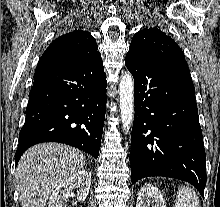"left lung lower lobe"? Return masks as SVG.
I'll use <instances>...</instances> for the list:
<instances>
[{
  "mask_svg": "<svg viewBox=\"0 0 220 207\" xmlns=\"http://www.w3.org/2000/svg\"><path fill=\"white\" fill-rule=\"evenodd\" d=\"M125 63L135 81L132 184L148 176H165L191 183L204 196L206 155L188 65L131 50Z\"/></svg>",
  "mask_w": 220,
  "mask_h": 207,
  "instance_id": "1",
  "label": "left lung lower lobe"
}]
</instances>
